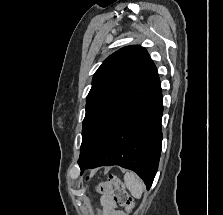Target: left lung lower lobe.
I'll return each instance as SVG.
<instances>
[{
  "label": "left lung lower lobe",
  "mask_w": 223,
  "mask_h": 215,
  "mask_svg": "<svg viewBox=\"0 0 223 215\" xmlns=\"http://www.w3.org/2000/svg\"><path fill=\"white\" fill-rule=\"evenodd\" d=\"M163 113L159 77L111 129L92 159L81 168L119 165L136 172L147 189L152 185L161 153Z\"/></svg>",
  "instance_id": "0a47b994"
}]
</instances>
